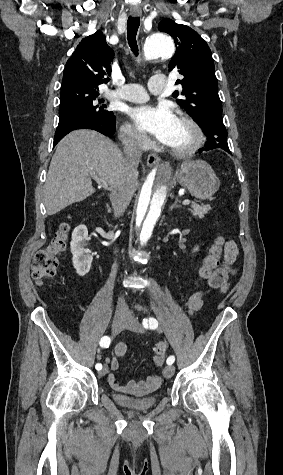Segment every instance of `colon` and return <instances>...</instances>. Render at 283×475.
I'll return each mask as SVG.
<instances>
[{
  "mask_svg": "<svg viewBox=\"0 0 283 475\" xmlns=\"http://www.w3.org/2000/svg\"><path fill=\"white\" fill-rule=\"evenodd\" d=\"M69 230L70 227L68 225H63L49 245L35 251L32 265V275L35 280L45 281L53 278L58 260L67 252ZM223 247L224 238L217 236L202 260L198 272L199 280H208L213 276L215 269L219 265ZM164 347V343H158L154 347L153 362L156 365L163 364L164 362Z\"/></svg>",
  "mask_w": 283,
  "mask_h": 475,
  "instance_id": "colon-1",
  "label": "colon"
}]
</instances>
